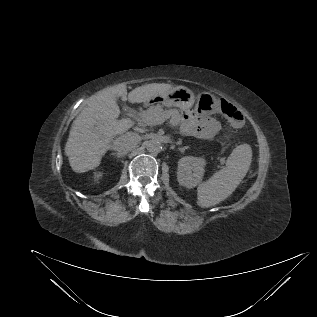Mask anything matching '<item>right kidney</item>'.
Listing matches in <instances>:
<instances>
[{
  "mask_svg": "<svg viewBox=\"0 0 317 317\" xmlns=\"http://www.w3.org/2000/svg\"><path fill=\"white\" fill-rule=\"evenodd\" d=\"M101 176H102V173H101V172H97V173L94 174V178H95L96 180H98Z\"/></svg>",
  "mask_w": 317,
  "mask_h": 317,
  "instance_id": "right-kidney-1",
  "label": "right kidney"
}]
</instances>
